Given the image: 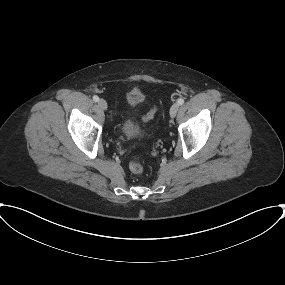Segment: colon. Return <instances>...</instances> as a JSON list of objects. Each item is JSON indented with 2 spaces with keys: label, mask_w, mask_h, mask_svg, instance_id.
<instances>
[{
  "label": "colon",
  "mask_w": 285,
  "mask_h": 285,
  "mask_svg": "<svg viewBox=\"0 0 285 285\" xmlns=\"http://www.w3.org/2000/svg\"><path fill=\"white\" fill-rule=\"evenodd\" d=\"M157 112V108L152 107L148 113L144 116L145 121L151 120ZM129 169L135 174H142L144 172V166L138 158H134L129 163Z\"/></svg>",
  "instance_id": "1"
}]
</instances>
